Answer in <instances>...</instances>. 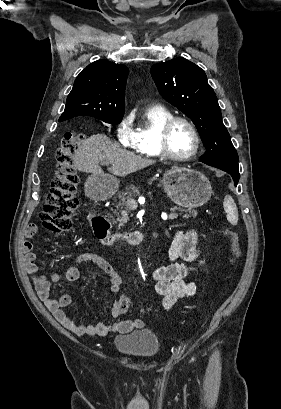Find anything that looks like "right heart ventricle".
<instances>
[{"label": "right heart ventricle", "instance_id": "1", "mask_svg": "<svg viewBox=\"0 0 281 409\" xmlns=\"http://www.w3.org/2000/svg\"><path fill=\"white\" fill-rule=\"evenodd\" d=\"M171 117H173L172 112L165 108L148 109L145 114V121L133 131L131 149L143 157H161L157 147V136L162 125Z\"/></svg>", "mask_w": 281, "mask_h": 409}]
</instances>
